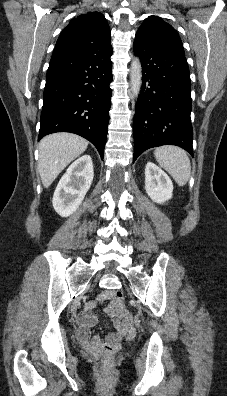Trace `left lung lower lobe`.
<instances>
[{
    "label": "left lung lower lobe",
    "mask_w": 227,
    "mask_h": 396,
    "mask_svg": "<svg viewBox=\"0 0 227 396\" xmlns=\"http://www.w3.org/2000/svg\"><path fill=\"white\" fill-rule=\"evenodd\" d=\"M133 50L140 57L143 75L133 123V162L145 150L167 144L193 155L191 85L184 53L137 39Z\"/></svg>",
    "instance_id": "1"
}]
</instances>
